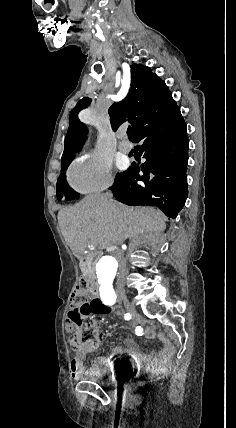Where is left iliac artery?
<instances>
[{
    "label": "left iliac artery",
    "instance_id": "1",
    "mask_svg": "<svg viewBox=\"0 0 236 428\" xmlns=\"http://www.w3.org/2000/svg\"><path fill=\"white\" fill-rule=\"evenodd\" d=\"M100 297L105 305H113L117 296L114 291H100Z\"/></svg>",
    "mask_w": 236,
    "mask_h": 428
}]
</instances>
